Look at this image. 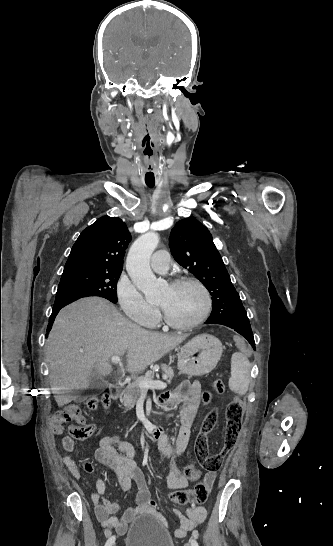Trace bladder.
<instances>
[{
	"label": "bladder",
	"instance_id": "obj_1",
	"mask_svg": "<svg viewBox=\"0 0 333 546\" xmlns=\"http://www.w3.org/2000/svg\"><path fill=\"white\" fill-rule=\"evenodd\" d=\"M126 546H175L166 528L152 515L137 517L127 528Z\"/></svg>",
	"mask_w": 333,
	"mask_h": 546
}]
</instances>
